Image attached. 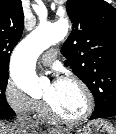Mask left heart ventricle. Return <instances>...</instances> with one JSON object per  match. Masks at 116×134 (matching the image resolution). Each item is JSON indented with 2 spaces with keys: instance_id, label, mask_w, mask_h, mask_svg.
<instances>
[{
  "instance_id": "b2bd125f",
  "label": "left heart ventricle",
  "mask_w": 116,
  "mask_h": 134,
  "mask_svg": "<svg viewBox=\"0 0 116 134\" xmlns=\"http://www.w3.org/2000/svg\"><path fill=\"white\" fill-rule=\"evenodd\" d=\"M43 97L61 115L74 118L81 115L86 108V100L82 90L73 82L59 81L54 88L49 84Z\"/></svg>"
}]
</instances>
